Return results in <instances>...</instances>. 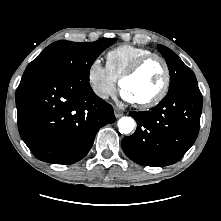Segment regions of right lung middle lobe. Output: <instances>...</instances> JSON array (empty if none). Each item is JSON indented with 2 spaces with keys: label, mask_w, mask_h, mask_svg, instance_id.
<instances>
[{
  "label": "right lung middle lobe",
  "mask_w": 221,
  "mask_h": 221,
  "mask_svg": "<svg viewBox=\"0 0 221 221\" xmlns=\"http://www.w3.org/2000/svg\"><path fill=\"white\" fill-rule=\"evenodd\" d=\"M115 38H104L95 42L75 43L56 41L46 47L26 68L25 72L46 70L63 73L89 81L90 67L96 58Z\"/></svg>",
  "instance_id": "right-lung-middle-lobe-1"
}]
</instances>
